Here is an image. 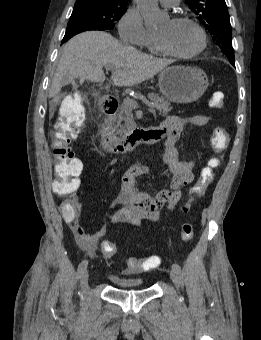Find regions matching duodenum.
<instances>
[{
	"label": "duodenum",
	"mask_w": 261,
	"mask_h": 340,
	"mask_svg": "<svg viewBox=\"0 0 261 340\" xmlns=\"http://www.w3.org/2000/svg\"><path fill=\"white\" fill-rule=\"evenodd\" d=\"M100 109L105 114V119L100 125L101 142L105 148L114 154L122 155L133 152L139 145H152L160 140L157 127L138 128L126 137H119L112 132V117L118 109L115 99H103Z\"/></svg>",
	"instance_id": "obj_1"
}]
</instances>
